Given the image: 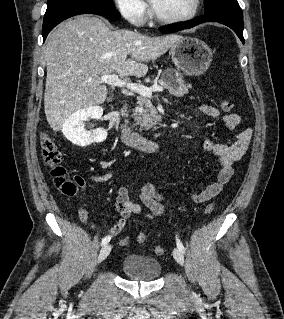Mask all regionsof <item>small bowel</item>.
Listing matches in <instances>:
<instances>
[{
  "label": "small bowel",
  "mask_w": 284,
  "mask_h": 319,
  "mask_svg": "<svg viewBox=\"0 0 284 319\" xmlns=\"http://www.w3.org/2000/svg\"><path fill=\"white\" fill-rule=\"evenodd\" d=\"M200 110L206 116L216 118L220 116V111L211 105L204 104ZM222 121L224 125L235 130L241 123V118L238 114L230 113L223 115ZM252 138V130L249 128L242 129L236 136V139L231 144L215 143L212 140L203 142V149L206 152L212 153L220 164V169L217 175V180L208 185L202 191L191 192V197L196 203H202L211 200L218 196L224 185L230 180L234 172V163L240 160L247 151ZM110 177L109 173L92 175L91 179L96 182H104ZM165 193L157 190L151 184H144L140 189V199L142 204L147 208L148 212H144L142 206L131 201L126 188L121 187L118 190L116 197V209L120 215L117 223L109 229V234L116 235L120 233L126 226L127 220L132 214H142L147 219H153L156 216H161L165 213L166 208L162 204ZM83 196L80 197L82 202ZM182 211L183 208H178ZM78 217L81 222H88V211L80 204L78 207Z\"/></svg>",
  "instance_id": "c3829d8e"
}]
</instances>
